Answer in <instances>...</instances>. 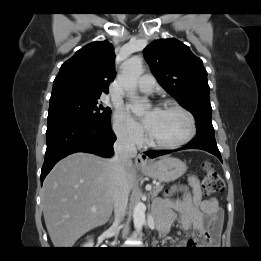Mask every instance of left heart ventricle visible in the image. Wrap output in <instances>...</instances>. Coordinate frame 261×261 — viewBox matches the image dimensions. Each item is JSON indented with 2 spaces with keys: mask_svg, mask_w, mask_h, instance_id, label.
<instances>
[{
  "mask_svg": "<svg viewBox=\"0 0 261 261\" xmlns=\"http://www.w3.org/2000/svg\"><path fill=\"white\" fill-rule=\"evenodd\" d=\"M188 130L186 118L174 110H159L149 136L158 142H174L182 138Z\"/></svg>",
  "mask_w": 261,
  "mask_h": 261,
  "instance_id": "b2bd125f",
  "label": "left heart ventricle"
}]
</instances>
